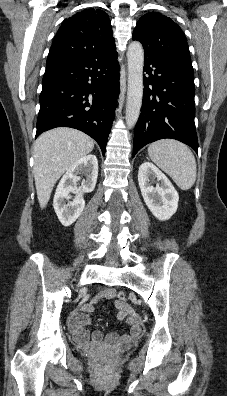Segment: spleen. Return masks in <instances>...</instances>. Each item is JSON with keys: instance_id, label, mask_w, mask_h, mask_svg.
Masks as SVG:
<instances>
[{"instance_id": "1", "label": "spleen", "mask_w": 227, "mask_h": 396, "mask_svg": "<svg viewBox=\"0 0 227 396\" xmlns=\"http://www.w3.org/2000/svg\"><path fill=\"white\" fill-rule=\"evenodd\" d=\"M148 155L180 189L188 190L194 185L196 160L185 144L170 139L159 140L149 145Z\"/></svg>"}]
</instances>
